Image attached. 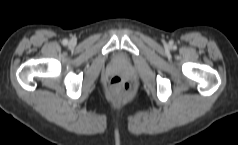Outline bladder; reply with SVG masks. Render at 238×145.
<instances>
[{
	"instance_id": "obj_1",
	"label": "bladder",
	"mask_w": 238,
	"mask_h": 145,
	"mask_svg": "<svg viewBox=\"0 0 238 145\" xmlns=\"http://www.w3.org/2000/svg\"><path fill=\"white\" fill-rule=\"evenodd\" d=\"M123 60H124V59H123V57H122V56H120V55H119V56H117V57H116V59H115V61H116L117 63H122V62H123Z\"/></svg>"
}]
</instances>
